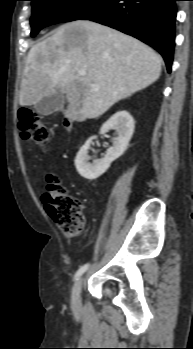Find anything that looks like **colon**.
Here are the masks:
<instances>
[{"mask_svg":"<svg viewBox=\"0 0 193 349\" xmlns=\"http://www.w3.org/2000/svg\"><path fill=\"white\" fill-rule=\"evenodd\" d=\"M18 129L24 139L33 140L41 147L50 143V132L42 117L28 108L18 112ZM43 204L57 224L68 236L78 235L84 227L81 202L67 194L59 178L54 174L46 176V188L42 195Z\"/></svg>","mask_w":193,"mask_h":349,"instance_id":"obj_1","label":"colon"}]
</instances>
